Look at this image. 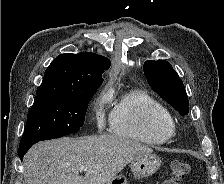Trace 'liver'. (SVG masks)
I'll use <instances>...</instances> for the list:
<instances>
[{
	"instance_id": "liver-1",
	"label": "liver",
	"mask_w": 224,
	"mask_h": 184,
	"mask_svg": "<svg viewBox=\"0 0 224 184\" xmlns=\"http://www.w3.org/2000/svg\"><path fill=\"white\" fill-rule=\"evenodd\" d=\"M152 152L139 142L106 134L40 142L24 156L25 184H105Z\"/></svg>"
}]
</instances>
